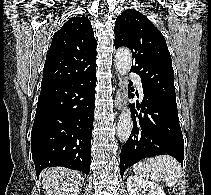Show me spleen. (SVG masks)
<instances>
[{
	"label": "spleen",
	"mask_w": 211,
	"mask_h": 195,
	"mask_svg": "<svg viewBox=\"0 0 211 195\" xmlns=\"http://www.w3.org/2000/svg\"><path fill=\"white\" fill-rule=\"evenodd\" d=\"M133 170L141 177L157 182L164 181L167 186H174L181 175L180 163L168 155L156 156L146 162H140L133 166Z\"/></svg>",
	"instance_id": "spleen-1"
}]
</instances>
